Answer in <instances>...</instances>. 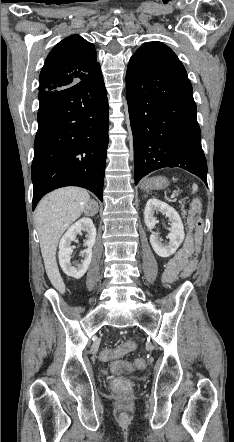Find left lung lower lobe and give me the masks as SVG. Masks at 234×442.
<instances>
[{"label":"left lung lower lobe","mask_w":234,"mask_h":442,"mask_svg":"<svg viewBox=\"0 0 234 442\" xmlns=\"http://www.w3.org/2000/svg\"><path fill=\"white\" fill-rule=\"evenodd\" d=\"M126 94L133 132L135 185L148 173L180 167L207 185L192 85L181 62L132 56Z\"/></svg>","instance_id":"1"}]
</instances>
